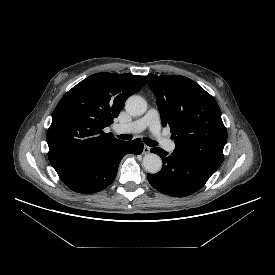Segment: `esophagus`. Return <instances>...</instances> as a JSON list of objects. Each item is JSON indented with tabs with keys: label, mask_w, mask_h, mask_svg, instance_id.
<instances>
[{
	"label": "esophagus",
	"mask_w": 275,
	"mask_h": 275,
	"mask_svg": "<svg viewBox=\"0 0 275 275\" xmlns=\"http://www.w3.org/2000/svg\"><path fill=\"white\" fill-rule=\"evenodd\" d=\"M150 147L149 146H147V145H145L144 146V148H143V154H148V153H150Z\"/></svg>",
	"instance_id": "obj_1"
}]
</instances>
